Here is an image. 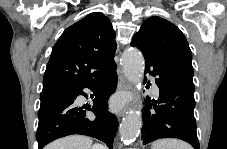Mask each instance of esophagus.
I'll return each mask as SVG.
<instances>
[{
	"mask_svg": "<svg viewBox=\"0 0 227 149\" xmlns=\"http://www.w3.org/2000/svg\"><path fill=\"white\" fill-rule=\"evenodd\" d=\"M118 90L121 91V90H127L129 88V85H128V82L126 80V78L120 73L118 75ZM119 114V117H122V116H128L129 115V112L126 111V108H121L118 112ZM124 116V117H125Z\"/></svg>",
	"mask_w": 227,
	"mask_h": 149,
	"instance_id": "34e87169",
	"label": "esophagus"
}]
</instances>
